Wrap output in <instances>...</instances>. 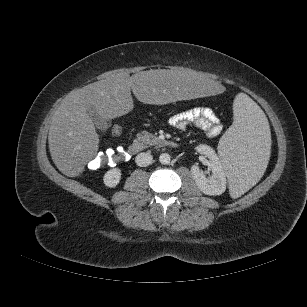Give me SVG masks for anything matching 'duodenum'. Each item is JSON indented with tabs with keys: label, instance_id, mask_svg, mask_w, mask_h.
Wrapping results in <instances>:
<instances>
[{
	"label": "duodenum",
	"instance_id": "duodenum-1",
	"mask_svg": "<svg viewBox=\"0 0 307 307\" xmlns=\"http://www.w3.org/2000/svg\"><path fill=\"white\" fill-rule=\"evenodd\" d=\"M160 143H161L162 146H167V147H176L177 146L176 142L166 140V139L161 140ZM142 148H143V144L141 142L134 141L128 146L127 151L129 153V156H134V155L138 154L142 150Z\"/></svg>",
	"mask_w": 307,
	"mask_h": 307
}]
</instances>
